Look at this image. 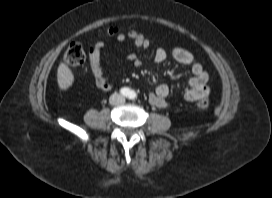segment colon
Wrapping results in <instances>:
<instances>
[{"label":"colon","mask_w":272,"mask_h":198,"mask_svg":"<svg viewBox=\"0 0 272 198\" xmlns=\"http://www.w3.org/2000/svg\"><path fill=\"white\" fill-rule=\"evenodd\" d=\"M117 30L114 28L109 29L104 33V36H114ZM86 58L85 50L83 46L79 43H70L64 53V61L66 64L72 68L80 67L84 64ZM210 105L209 99L207 97L201 98L197 102L198 108L202 110L208 109Z\"/></svg>","instance_id":"obj_1"}]
</instances>
